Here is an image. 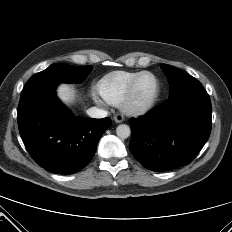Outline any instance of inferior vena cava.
I'll list each match as a JSON object with an SVG mask.
<instances>
[{
  "mask_svg": "<svg viewBox=\"0 0 232 232\" xmlns=\"http://www.w3.org/2000/svg\"><path fill=\"white\" fill-rule=\"evenodd\" d=\"M87 114L92 118H105L107 117V111L99 109L97 107H91L87 110Z\"/></svg>",
  "mask_w": 232,
  "mask_h": 232,
  "instance_id": "inferior-vena-cava-1",
  "label": "inferior vena cava"
}]
</instances>
